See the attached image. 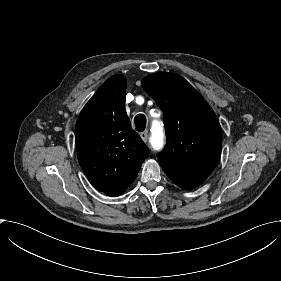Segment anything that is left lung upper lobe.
<instances>
[{"label":"left lung upper lobe","mask_w":281,"mask_h":281,"mask_svg":"<svg viewBox=\"0 0 281 281\" xmlns=\"http://www.w3.org/2000/svg\"><path fill=\"white\" fill-rule=\"evenodd\" d=\"M142 87L163 111L167 145L157 154L159 162L182 171L211 173L220 159L222 132L204 98L174 73L148 75Z\"/></svg>","instance_id":"1"}]
</instances>
